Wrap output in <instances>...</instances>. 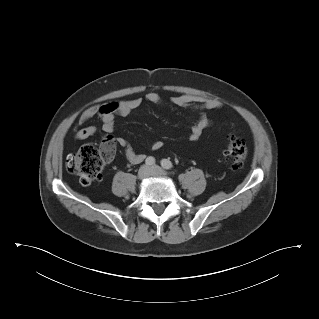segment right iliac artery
I'll return each mask as SVG.
<instances>
[{
  "label": "right iliac artery",
  "mask_w": 319,
  "mask_h": 319,
  "mask_svg": "<svg viewBox=\"0 0 319 319\" xmlns=\"http://www.w3.org/2000/svg\"><path fill=\"white\" fill-rule=\"evenodd\" d=\"M145 162L147 165L151 166L155 164V159L153 157H148Z\"/></svg>",
  "instance_id": "right-iliac-artery-1"
}]
</instances>
